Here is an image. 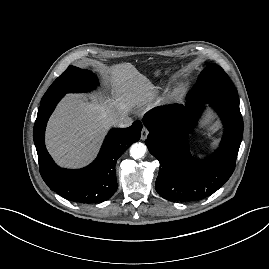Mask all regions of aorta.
I'll return each mask as SVG.
<instances>
[{
  "instance_id": "obj_1",
  "label": "aorta",
  "mask_w": 269,
  "mask_h": 269,
  "mask_svg": "<svg viewBox=\"0 0 269 269\" xmlns=\"http://www.w3.org/2000/svg\"><path fill=\"white\" fill-rule=\"evenodd\" d=\"M147 147L143 143H134L130 147V155L134 159H140L142 158L146 153Z\"/></svg>"
}]
</instances>
